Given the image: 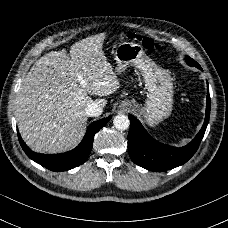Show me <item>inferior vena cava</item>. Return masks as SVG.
Here are the masks:
<instances>
[{
    "instance_id": "602c4592",
    "label": "inferior vena cava",
    "mask_w": 228,
    "mask_h": 228,
    "mask_svg": "<svg viewBox=\"0 0 228 228\" xmlns=\"http://www.w3.org/2000/svg\"><path fill=\"white\" fill-rule=\"evenodd\" d=\"M85 114L87 116H99L102 114V107L99 106L96 102H93L89 105H87L85 109Z\"/></svg>"
}]
</instances>
